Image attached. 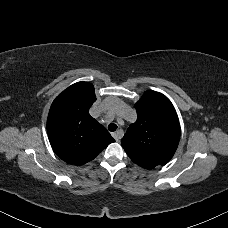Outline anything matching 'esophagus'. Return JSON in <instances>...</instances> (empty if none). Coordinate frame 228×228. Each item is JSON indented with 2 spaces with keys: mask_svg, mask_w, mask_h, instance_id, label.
Masks as SVG:
<instances>
[{
  "mask_svg": "<svg viewBox=\"0 0 228 228\" xmlns=\"http://www.w3.org/2000/svg\"><path fill=\"white\" fill-rule=\"evenodd\" d=\"M112 135H113V137L115 138L116 141H119L120 138L122 137V131L118 130L117 132H114Z\"/></svg>",
  "mask_w": 228,
  "mask_h": 228,
  "instance_id": "1",
  "label": "esophagus"
}]
</instances>
